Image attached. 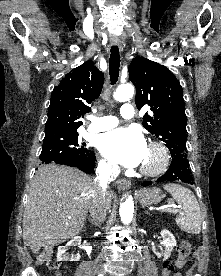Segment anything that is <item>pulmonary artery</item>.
<instances>
[{
  "label": "pulmonary artery",
  "mask_w": 221,
  "mask_h": 276,
  "mask_svg": "<svg viewBox=\"0 0 221 276\" xmlns=\"http://www.w3.org/2000/svg\"><path fill=\"white\" fill-rule=\"evenodd\" d=\"M120 114L125 119H131L134 116V108L131 104H123L120 109ZM118 125V119L114 116H104L94 118L91 125L88 127L90 132H101L114 128Z\"/></svg>",
  "instance_id": "pulmonary-artery-1"
}]
</instances>
